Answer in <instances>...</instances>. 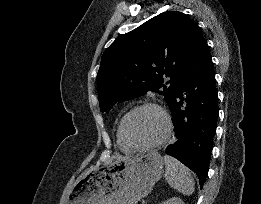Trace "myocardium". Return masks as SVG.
<instances>
[{"instance_id":"obj_1","label":"myocardium","mask_w":261,"mask_h":204,"mask_svg":"<svg viewBox=\"0 0 261 204\" xmlns=\"http://www.w3.org/2000/svg\"><path fill=\"white\" fill-rule=\"evenodd\" d=\"M144 109L155 110L162 118L164 128L161 136L157 140L145 145H135L131 143L125 135V124L131 115ZM171 129H172L171 118L168 112L165 110V108H163L160 104L155 102H144L132 107L122 117L119 124V136L123 144L129 149H131L132 151H147L162 145L168 139L171 133Z\"/></svg>"}]
</instances>
